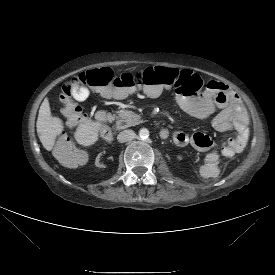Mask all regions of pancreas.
I'll list each match as a JSON object with an SVG mask.
<instances>
[{
  "label": "pancreas",
  "mask_w": 275,
  "mask_h": 275,
  "mask_svg": "<svg viewBox=\"0 0 275 275\" xmlns=\"http://www.w3.org/2000/svg\"><path fill=\"white\" fill-rule=\"evenodd\" d=\"M116 119V128L125 129L140 123V116L133 111L121 109L114 115Z\"/></svg>",
  "instance_id": "obj_1"
}]
</instances>
